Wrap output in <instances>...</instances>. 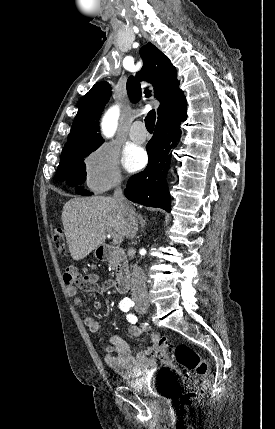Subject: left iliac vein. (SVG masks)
I'll use <instances>...</instances> for the list:
<instances>
[{
	"label": "left iliac vein",
	"mask_w": 275,
	"mask_h": 429,
	"mask_svg": "<svg viewBox=\"0 0 275 429\" xmlns=\"http://www.w3.org/2000/svg\"><path fill=\"white\" fill-rule=\"evenodd\" d=\"M146 311H147V308H138V312L141 314L146 313Z\"/></svg>",
	"instance_id": "left-iliac-vein-1"
}]
</instances>
